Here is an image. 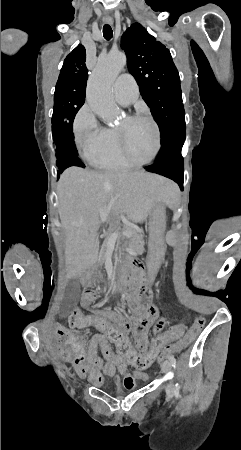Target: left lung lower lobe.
<instances>
[{"label": "left lung lower lobe", "mask_w": 241, "mask_h": 450, "mask_svg": "<svg viewBox=\"0 0 241 450\" xmlns=\"http://www.w3.org/2000/svg\"><path fill=\"white\" fill-rule=\"evenodd\" d=\"M185 129H178L169 134L158 153L154 164L145 167L147 171L168 177L182 188L184 181V162L181 150L185 138Z\"/></svg>", "instance_id": "1"}]
</instances>
